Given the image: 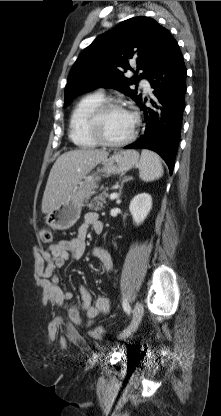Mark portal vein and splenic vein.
I'll list each match as a JSON object with an SVG mask.
<instances>
[{"label":"portal vein and splenic vein","mask_w":221,"mask_h":416,"mask_svg":"<svg viewBox=\"0 0 221 416\" xmlns=\"http://www.w3.org/2000/svg\"><path fill=\"white\" fill-rule=\"evenodd\" d=\"M117 197H118V194H117V193H115V192L110 194V199H111V200H114V199H116Z\"/></svg>","instance_id":"portal-vein-and-splenic-vein-1"}]
</instances>
